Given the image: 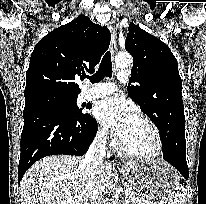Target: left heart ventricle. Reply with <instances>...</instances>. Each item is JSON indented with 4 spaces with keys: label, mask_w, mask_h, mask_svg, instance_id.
Here are the masks:
<instances>
[{
    "label": "left heart ventricle",
    "mask_w": 206,
    "mask_h": 204,
    "mask_svg": "<svg viewBox=\"0 0 206 204\" xmlns=\"http://www.w3.org/2000/svg\"><path fill=\"white\" fill-rule=\"evenodd\" d=\"M124 146L131 152L148 154L155 149V137L150 127L141 119L135 118L129 132L122 139Z\"/></svg>",
    "instance_id": "b2bd125f"
}]
</instances>
